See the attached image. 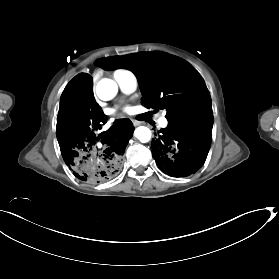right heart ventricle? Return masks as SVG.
<instances>
[{
    "label": "right heart ventricle",
    "mask_w": 279,
    "mask_h": 279,
    "mask_svg": "<svg viewBox=\"0 0 279 279\" xmlns=\"http://www.w3.org/2000/svg\"><path fill=\"white\" fill-rule=\"evenodd\" d=\"M121 71H124L125 73H129V74H133V73H131V72L128 71V70H121Z\"/></svg>",
    "instance_id": "1"
}]
</instances>
